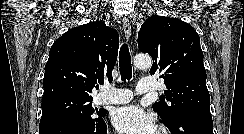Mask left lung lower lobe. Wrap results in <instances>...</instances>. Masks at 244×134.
Instances as JSON below:
<instances>
[{"label":"left lung lower lobe","instance_id":"0a47b994","mask_svg":"<svg viewBox=\"0 0 244 134\" xmlns=\"http://www.w3.org/2000/svg\"><path fill=\"white\" fill-rule=\"evenodd\" d=\"M165 125L171 134H213L211 115L193 110L178 113Z\"/></svg>","mask_w":244,"mask_h":134}]
</instances>
